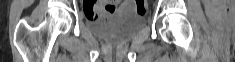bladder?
<instances>
[{"label": "bladder", "instance_id": "1", "mask_svg": "<svg viewBox=\"0 0 235 62\" xmlns=\"http://www.w3.org/2000/svg\"><path fill=\"white\" fill-rule=\"evenodd\" d=\"M146 25V17L132 6H123L98 20L86 19V26L96 35L110 40H126Z\"/></svg>", "mask_w": 235, "mask_h": 62}]
</instances>
